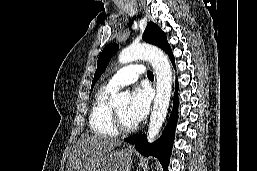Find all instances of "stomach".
Segmentation results:
<instances>
[{"label": "stomach", "instance_id": "0dacf381", "mask_svg": "<svg viewBox=\"0 0 257 171\" xmlns=\"http://www.w3.org/2000/svg\"><path fill=\"white\" fill-rule=\"evenodd\" d=\"M131 165L132 152L118 149L105 154L94 171H129Z\"/></svg>", "mask_w": 257, "mask_h": 171}]
</instances>
